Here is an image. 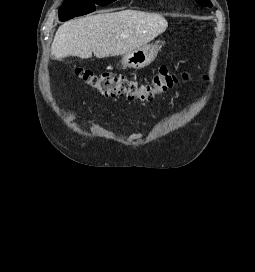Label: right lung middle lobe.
I'll return each instance as SVG.
<instances>
[{
	"instance_id": "1",
	"label": "right lung middle lobe",
	"mask_w": 255,
	"mask_h": 272,
	"mask_svg": "<svg viewBox=\"0 0 255 272\" xmlns=\"http://www.w3.org/2000/svg\"><path fill=\"white\" fill-rule=\"evenodd\" d=\"M115 0H65L59 9L60 21H66L76 16L93 12L95 4L105 6Z\"/></svg>"
}]
</instances>
